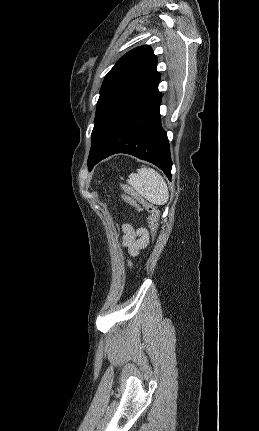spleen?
Returning a JSON list of instances; mask_svg holds the SVG:
<instances>
[{
	"mask_svg": "<svg viewBox=\"0 0 259 431\" xmlns=\"http://www.w3.org/2000/svg\"><path fill=\"white\" fill-rule=\"evenodd\" d=\"M127 182L145 199L156 205H164L169 192L163 177L153 168L143 166L129 176Z\"/></svg>",
	"mask_w": 259,
	"mask_h": 431,
	"instance_id": "1",
	"label": "spleen"
}]
</instances>
